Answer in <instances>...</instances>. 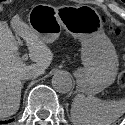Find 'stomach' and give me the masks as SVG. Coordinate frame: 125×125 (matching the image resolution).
I'll return each instance as SVG.
<instances>
[{"label": "stomach", "instance_id": "obj_1", "mask_svg": "<svg viewBox=\"0 0 125 125\" xmlns=\"http://www.w3.org/2000/svg\"><path fill=\"white\" fill-rule=\"evenodd\" d=\"M28 23L46 44L54 42L62 30L81 42L83 68L75 71L80 92L92 96L115 81L119 66L115 48L87 7L38 4L31 9Z\"/></svg>", "mask_w": 125, "mask_h": 125}]
</instances>
